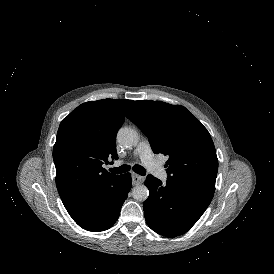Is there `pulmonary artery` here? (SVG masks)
<instances>
[{"instance_id": "1", "label": "pulmonary artery", "mask_w": 274, "mask_h": 274, "mask_svg": "<svg viewBox=\"0 0 274 274\" xmlns=\"http://www.w3.org/2000/svg\"><path fill=\"white\" fill-rule=\"evenodd\" d=\"M134 155L141 159L142 163L147 166L148 171L151 174H155L158 177H161L164 174V170L154 164V155L147 139H142L140 141L134 150Z\"/></svg>"}]
</instances>
